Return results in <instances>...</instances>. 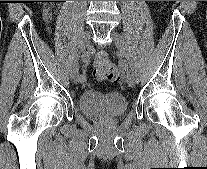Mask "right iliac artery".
Masks as SVG:
<instances>
[{
    "label": "right iliac artery",
    "mask_w": 207,
    "mask_h": 169,
    "mask_svg": "<svg viewBox=\"0 0 207 169\" xmlns=\"http://www.w3.org/2000/svg\"><path fill=\"white\" fill-rule=\"evenodd\" d=\"M82 61L85 64H88V62H89V54L87 52H84L82 54ZM84 80H85V75L84 74H78V81L79 82H83Z\"/></svg>",
    "instance_id": "1"
}]
</instances>
